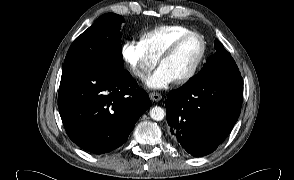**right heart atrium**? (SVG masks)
<instances>
[{"instance_id":"right-heart-atrium-1","label":"right heart atrium","mask_w":294,"mask_h":180,"mask_svg":"<svg viewBox=\"0 0 294 180\" xmlns=\"http://www.w3.org/2000/svg\"><path fill=\"white\" fill-rule=\"evenodd\" d=\"M121 53L132 74L140 80L147 77L156 66L158 60L150 55L142 44L135 39L125 41L122 45Z\"/></svg>"}]
</instances>
